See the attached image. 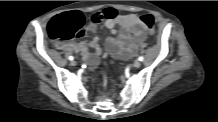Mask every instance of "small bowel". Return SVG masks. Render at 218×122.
Listing matches in <instances>:
<instances>
[{
	"instance_id": "small-bowel-1",
	"label": "small bowel",
	"mask_w": 218,
	"mask_h": 122,
	"mask_svg": "<svg viewBox=\"0 0 218 122\" xmlns=\"http://www.w3.org/2000/svg\"><path fill=\"white\" fill-rule=\"evenodd\" d=\"M88 24V29L91 32L106 26L113 35L118 34L117 38L107 39L106 49L113 57L120 59H128L133 56L149 32V28L144 25L139 16L119 14V11L114 7H105L99 12L90 13ZM117 25L121 26L119 32L116 29ZM57 47H69L72 51L80 53L89 67H95L101 55L98 37H94L90 42H72L68 45L64 42L57 43Z\"/></svg>"
}]
</instances>
